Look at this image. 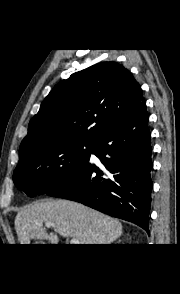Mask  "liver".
Returning <instances> with one entry per match:
<instances>
[{"label": "liver", "instance_id": "liver-1", "mask_svg": "<svg viewBox=\"0 0 180 294\" xmlns=\"http://www.w3.org/2000/svg\"><path fill=\"white\" fill-rule=\"evenodd\" d=\"M43 223H51L54 232L47 233ZM15 229L20 244H30L31 239L58 244V234L77 238L80 244H111L121 236L123 226L108 215L60 199L34 203L20 210Z\"/></svg>", "mask_w": 180, "mask_h": 294}]
</instances>
